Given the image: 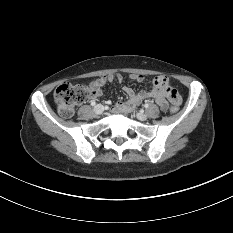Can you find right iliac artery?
Instances as JSON below:
<instances>
[{
    "mask_svg": "<svg viewBox=\"0 0 233 233\" xmlns=\"http://www.w3.org/2000/svg\"><path fill=\"white\" fill-rule=\"evenodd\" d=\"M96 104L95 101H91V105L94 106Z\"/></svg>",
    "mask_w": 233,
    "mask_h": 233,
    "instance_id": "82829eb1",
    "label": "right iliac artery"
}]
</instances>
